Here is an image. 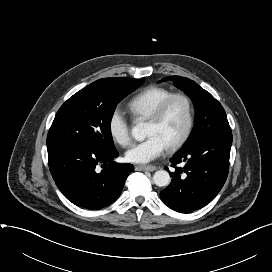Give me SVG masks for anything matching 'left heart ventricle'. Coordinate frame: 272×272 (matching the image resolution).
<instances>
[{
  "label": "left heart ventricle",
  "instance_id": "left-heart-ventricle-1",
  "mask_svg": "<svg viewBox=\"0 0 272 272\" xmlns=\"http://www.w3.org/2000/svg\"><path fill=\"white\" fill-rule=\"evenodd\" d=\"M186 119L185 103L180 99H176L170 104L160 121H148L147 136L158 135L168 147L183 133Z\"/></svg>",
  "mask_w": 272,
  "mask_h": 272
}]
</instances>
